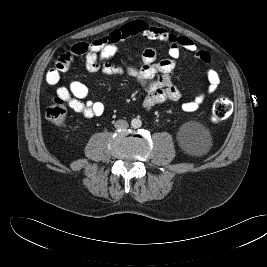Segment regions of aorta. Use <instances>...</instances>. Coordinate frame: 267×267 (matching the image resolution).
Instances as JSON below:
<instances>
[{"label": "aorta", "instance_id": "762f6f07", "mask_svg": "<svg viewBox=\"0 0 267 267\" xmlns=\"http://www.w3.org/2000/svg\"><path fill=\"white\" fill-rule=\"evenodd\" d=\"M131 126L132 128H140L142 126V121L139 118H134L131 120Z\"/></svg>", "mask_w": 267, "mask_h": 267}]
</instances>
